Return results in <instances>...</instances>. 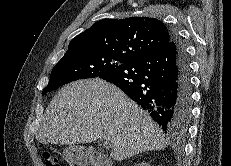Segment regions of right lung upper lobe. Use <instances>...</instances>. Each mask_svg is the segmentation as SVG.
Wrapping results in <instances>:
<instances>
[{
	"label": "right lung upper lobe",
	"mask_w": 231,
	"mask_h": 166,
	"mask_svg": "<svg viewBox=\"0 0 231 166\" xmlns=\"http://www.w3.org/2000/svg\"><path fill=\"white\" fill-rule=\"evenodd\" d=\"M171 39L172 32L155 18L102 19L73 38L66 54L92 50L132 61L163 49Z\"/></svg>",
	"instance_id": "1"
}]
</instances>
